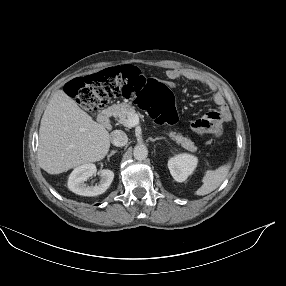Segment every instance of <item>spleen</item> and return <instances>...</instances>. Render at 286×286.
I'll return each mask as SVG.
<instances>
[{"mask_svg":"<svg viewBox=\"0 0 286 286\" xmlns=\"http://www.w3.org/2000/svg\"><path fill=\"white\" fill-rule=\"evenodd\" d=\"M230 169V164L220 166L216 170H207L202 179V186L196 190V195H207L214 191L225 180Z\"/></svg>","mask_w":286,"mask_h":286,"instance_id":"obj_1","label":"spleen"}]
</instances>
